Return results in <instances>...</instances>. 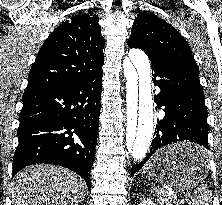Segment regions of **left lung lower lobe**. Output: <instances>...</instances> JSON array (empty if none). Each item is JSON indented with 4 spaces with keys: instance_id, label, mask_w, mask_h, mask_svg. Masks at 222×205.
Here are the masks:
<instances>
[{
    "instance_id": "1",
    "label": "left lung lower lobe",
    "mask_w": 222,
    "mask_h": 205,
    "mask_svg": "<svg viewBox=\"0 0 222 205\" xmlns=\"http://www.w3.org/2000/svg\"><path fill=\"white\" fill-rule=\"evenodd\" d=\"M149 59L152 64L153 81L160 90L155 95L156 110L165 107V116L162 120L157 119L151 149L143 161L133 166L131 176L144 166L156 150L165 145L191 141L209 149L207 109L199 80V70L172 58ZM206 160L207 154L204 149L180 151L172 158L173 163L183 166L202 164Z\"/></svg>"
}]
</instances>
